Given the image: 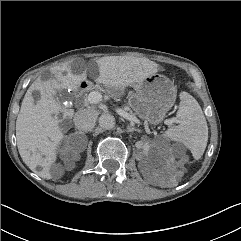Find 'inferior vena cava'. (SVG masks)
Segmentation results:
<instances>
[{
    "mask_svg": "<svg viewBox=\"0 0 241 241\" xmlns=\"http://www.w3.org/2000/svg\"><path fill=\"white\" fill-rule=\"evenodd\" d=\"M97 119V113L94 109H83L76 112L73 121L75 127L81 131H91Z\"/></svg>",
    "mask_w": 241,
    "mask_h": 241,
    "instance_id": "602c4592",
    "label": "inferior vena cava"
}]
</instances>
